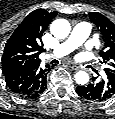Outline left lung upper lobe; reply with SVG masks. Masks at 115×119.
I'll return each mask as SVG.
<instances>
[{
	"mask_svg": "<svg viewBox=\"0 0 115 119\" xmlns=\"http://www.w3.org/2000/svg\"><path fill=\"white\" fill-rule=\"evenodd\" d=\"M89 16L104 42L103 51L100 53L103 61L107 64L104 70L106 74L115 77V25L98 12H90Z\"/></svg>",
	"mask_w": 115,
	"mask_h": 119,
	"instance_id": "1",
	"label": "left lung upper lobe"
}]
</instances>
